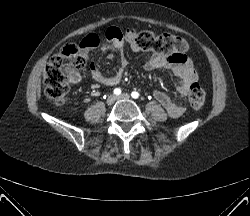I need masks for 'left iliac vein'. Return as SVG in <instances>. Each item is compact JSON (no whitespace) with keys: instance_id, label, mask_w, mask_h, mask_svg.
<instances>
[{"instance_id":"4c4485c4","label":"left iliac vein","mask_w":250,"mask_h":216,"mask_svg":"<svg viewBox=\"0 0 250 216\" xmlns=\"http://www.w3.org/2000/svg\"><path fill=\"white\" fill-rule=\"evenodd\" d=\"M116 99L118 100H129L130 99V95L127 94V93H123V94H120L116 97Z\"/></svg>"}]
</instances>
